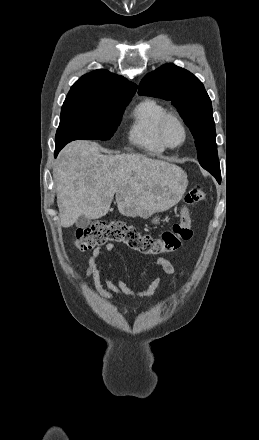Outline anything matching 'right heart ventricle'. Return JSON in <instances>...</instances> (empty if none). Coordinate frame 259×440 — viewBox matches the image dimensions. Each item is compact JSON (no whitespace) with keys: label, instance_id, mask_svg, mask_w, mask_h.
<instances>
[{"label":"right heart ventricle","instance_id":"obj_1","mask_svg":"<svg viewBox=\"0 0 259 440\" xmlns=\"http://www.w3.org/2000/svg\"><path fill=\"white\" fill-rule=\"evenodd\" d=\"M167 112V107L158 100L139 102L131 113L127 132L129 141L150 154H162L166 147L158 137V126Z\"/></svg>","mask_w":259,"mask_h":440}]
</instances>
